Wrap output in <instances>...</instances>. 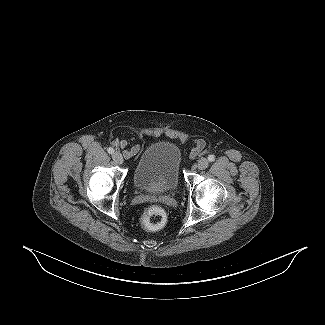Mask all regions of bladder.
<instances>
[{"mask_svg": "<svg viewBox=\"0 0 325 325\" xmlns=\"http://www.w3.org/2000/svg\"><path fill=\"white\" fill-rule=\"evenodd\" d=\"M181 151L167 141L150 144L140 155L133 173L136 188L151 193L171 192L178 186Z\"/></svg>", "mask_w": 325, "mask_h": 325, "instance_id": "31cf9c89", "label": "bladder"}]
</instances>
